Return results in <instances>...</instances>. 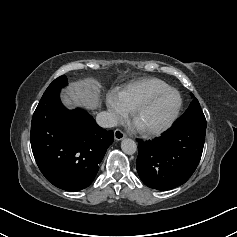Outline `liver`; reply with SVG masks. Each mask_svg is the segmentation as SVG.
<instances>
[{
	"label": "liver",
	"instance_id": "obj_1",
	"mask_svg": "<svg viewBox=\"0 0 237 237\" xmlns=\"http://www.w3.org/2000/svg\"><path fill=\"white\" fill-rule=\"evenodd\" d=\"M101 85L91 79H81L71 83L69 93L62 95L63 103L73 108L75 104L88 110L97 109L100 106Z\"/></svg>",
	"mask_w": 237,
	"mask_h": 237
}]
</instances>
